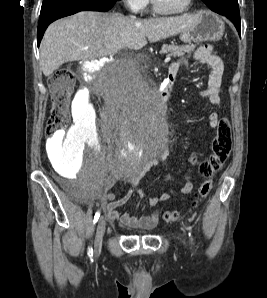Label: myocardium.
I'll list each match as a JSON object with an SVG mask.
<instances>
[{"instance_id":"obj_1","label":"myocardium","mask_w":267,"mask_h":298,"mask_svg":"<svg viewBox=\"0 0 267 298\" xmlns=\"http://www.w3.org/2000/svg\"><path fill=\"white\" fill-rule=\"evenodd\" d=\"M193 4V0H187V3L185 5V7L183 9H181L180 11H176V12H171V11H166L164 9H162L158 3L157 0H151V5H152V9L155 13L159 14V15H163V16H178V15H182L184 13H186L187 11H189V9L191 8Z\"/></svg>"}]
</instances>
